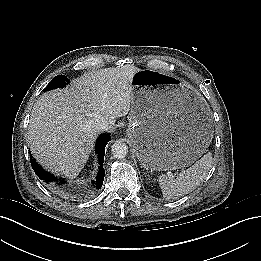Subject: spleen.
<instances>
[{"label":"spleen","instance_id":"3e777b00","mask_svg":"<svg viewBox=\"0 0 261 261\" xmlns=\"http://www.w3.org/2000/svg\"><path fill=\"white\" fill-rule=\"evenodd\" d=\"M213 165L211 153H207L194 165L174 177L172 174L159 176L158 183L166 199L182 197L200 184Z\"/></svg>","mask_w":261,"mask_h":261}]
</instances>
